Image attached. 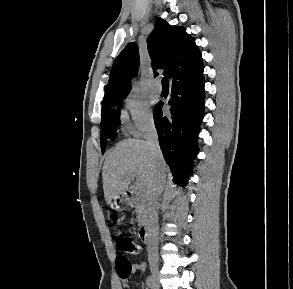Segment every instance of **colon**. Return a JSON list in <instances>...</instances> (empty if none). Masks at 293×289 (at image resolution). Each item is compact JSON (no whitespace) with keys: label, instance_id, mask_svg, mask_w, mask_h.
<instances>
[{"label":"colon","instance_id":"obj_1","mask_svg":"<svg viewBox=\"0 0 293 289\" xmlns=\"http://www.w3.org/2000/svg\"><path fill=\"white\" fill-rule=\"evenodd\" d=\"M118 247L124 252L125 255H121L117 260L118 273L122 278L128 277L132 270V265L127 255L136 256L141 252V246L131 237L125 234H118L116 237Z\"/></svg>","mask_w":293,"mask_h":289}]
</instances>
